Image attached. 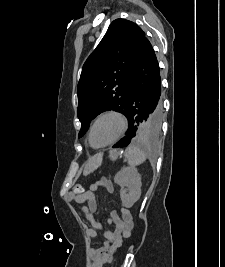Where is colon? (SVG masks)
I'll return each mask as SVG.
<instances>
[{
	"instance_id": "5ec220e1",
	"label": "colon",
	"mask_w": 225,
	"mask_h": 267,
	"mask_svg": "<svg viewBox=\"0 0 225 267\" xmlns=\"http://www.w3.org/2000/svg\"><path fill=\"white\" fill-rule=\"evenodd\" d=\"M73 192L76 195H81L84 192V187L82 185L78 184V185L74 186Z\"/></svg>"
}]
</instances>
